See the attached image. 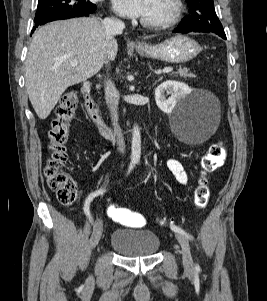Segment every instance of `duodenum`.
Segmentation results:
<instances>
[{
	"label": "duodenum",
	"instance_id": "410a0bca",
	"mask_svg": "<svg viewBox=\"0 0 267 301\" xmlns=\"http://www.w3.org/2000/svg\"><path fill=\"white\" fill-rule=\"evenodd\" d=\"M92 84L90 81H83L81 84V95L83 105L91 120L96 125L101 135L113 137L116 131L110 127L100 114L98 106L91 95Z\"/></svg>",
	"mask_w": 267,
	"mask_h": 301
}]
</instances>
